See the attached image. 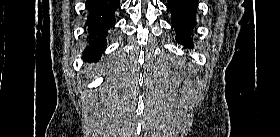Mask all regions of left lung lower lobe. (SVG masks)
<instances>
[{
    "label": "left lung lower lobe",
    "instance_id": "left-lung-lower-lobe-1",
    "mask_svg": "<svg viewBox=\"0 0 280 137\" xmlns=\"http://www.w3.org/2000/svg\"><path fill=\"white\" fill-rule=\"evenodd\" d=\"M198 0H167V8L172 16V26L178 43L185 48H193L190 38L196 24Z\"/></svg>",
    "mask_w": 280,
    "mask_h": 137
}]
</instances>
